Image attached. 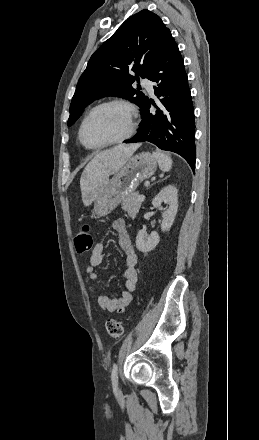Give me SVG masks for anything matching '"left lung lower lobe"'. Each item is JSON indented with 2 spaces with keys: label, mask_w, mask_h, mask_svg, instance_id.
Listing matches in <instances>:
<instances>
[{
  "label": "left lung lower lobe",
  "mask_w": 259,
  "mask_h": 440,
  "mask_svg": "<svg viewBox=\"0 0 259 440\" xmlns=\"http://www.w3.org/2000/svg\"><path fill=\"white\" fill-rule=\"evenodd\" d=\"M149 80L156 82L155 95L159 106L148 101L142 110L140 129L126 143L148 141L162 150L181 155L195 170V121L187 74L180 51L171 34L149 72ZM150 104L156 114L150 113Z\"/></svg>",
  "instance_id": "left-lung-lower-lobe-1"
}]
</instances>
